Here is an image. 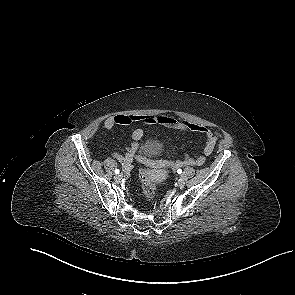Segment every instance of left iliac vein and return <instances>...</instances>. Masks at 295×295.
Masks as SVG:
<instances>
[{
	"instance_id": "obj_1",
	"label": "left iliac vein",
	"mask_w": 295,
	"mask_h": 295,
	"mask_svg": "<svg viewBox=\"0 0 295 295\" xmlns=\"http://www.w3.org/2000/svg\"><path fill=\"white\" fill-rule=\"evenodd\" d=\"M185 185V180H184V178H180L179 180H178V186L179 187H183Z\"/></svg>"
}]
</instances>
